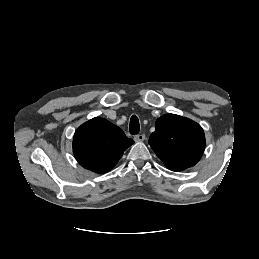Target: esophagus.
<instances>
[{
	"instance_id": "1",
	"label": "esophagus",
	"mask_w": 259,
	"mask_h": 259,
	"mask_svg": "<svg viewBox=\"0 0 259 259\" xmlns=\"http://www.w3.org/2000/svg\"><path fill=\"white\" fill-rule=\"evenodd\" d=\"M135 142H141L145 140V135L144 134H137L134 136Z\"/></svg>"
}]
</instances>
